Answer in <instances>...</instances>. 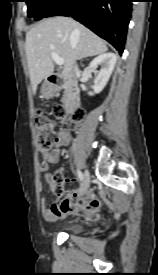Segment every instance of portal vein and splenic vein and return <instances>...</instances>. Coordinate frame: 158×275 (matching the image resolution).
<instances>
[{"label":"portal vein and splenic vein","mask_w":158,"mask_h":275,"mask_svg":"<svg viewBox=\"0 0 158 275\" xmlns=\"http://www.w3.org/2000/svg\"><path fill=\"white\" fill-rule=\"evenodd\" d=\"M51 57L57 65H63L64 60L57 53L51 52Z\"/></svg>","instance_id":"1"}]
</instances>
